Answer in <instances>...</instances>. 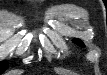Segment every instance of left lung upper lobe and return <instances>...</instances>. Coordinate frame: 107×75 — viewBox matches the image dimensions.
Wrapping results in <instances>:
<instances>
[{
  "label": "left lung upper lobe",
  "mask_w": 107,
  "mask_h": 75,
  "mask_svg": "<svg viewBox=\"0 0 107 75\" xmlns=\"http://www.w3.org/2000/svg\"><path fill=\"white\" fill-rule=\"evenodd\" d=\"M73 41H74L76 44H78L79 46H82V47H83V43H82L80 40L74 39Z\"/></svg>",
  "instance_id": "1"
}]
</instances>
